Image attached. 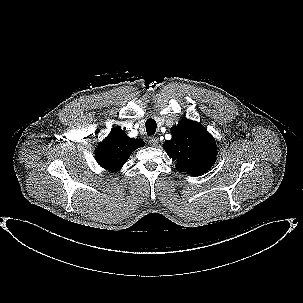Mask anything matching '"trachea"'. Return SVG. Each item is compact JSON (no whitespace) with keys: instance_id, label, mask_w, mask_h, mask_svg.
Returning a JSON list of instances; mask_svg holds the SVG:
<instances>
[{"instance_id":"1","label":"trachea","mask_w":303,"mask_h":303,"mask_svg":"<svg viewBox=\"0 0 303 303\" xmlns=\"http://www.w3.org/2000/svg\"><path fill=\"white\" fill-rule=\"evenodd\" d=\"M145 126H146V132H147L148 136H151V135L155 134L157 125H156V122H155L154 119L149 118L146 121Z\"/></svg>"}]
</instances>
